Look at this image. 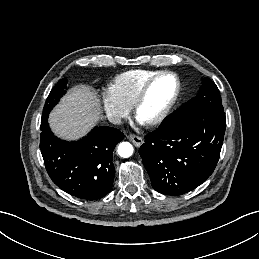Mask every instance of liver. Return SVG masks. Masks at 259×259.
Returning a JSON list of instances; mask_svg holds the SVG:
<instances>
[{
	"instance_id": "liver-1",
	"label": "liver",
	"mask_w": 259,
	"mask_h": 259,
	"mask_svg": "<svg viewBox=\"0 0 259 259\" xmlns=\"http://www.w3.org/2000/svg\"><path fill=\"white\" fill-rule=\"evenodd\" d=\"M101 118L100 100L90 87H73L50 115L53 132L68 140L85 135Z\"/></svg>"
}]
</instances>
